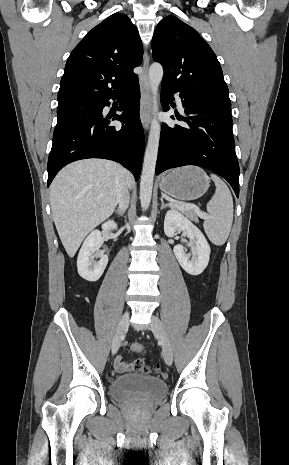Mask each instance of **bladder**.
Wrapping results in <instances>:
<instances>
[{
  "instance_id": "31cf9c89",
  "label": "bladder",
  "mask_w": 289,
  "mask_h": 465,
  "mask_svg": "<svg viewBox=\"0 0 289 465\" xmlns=\"http://www.w3.org/2000/svg\"><path fill=\"white\" fill-rule=\"evenodd\" d=\"M168 393L165 382L142 374L123 375L112 381L111 396L120 402L137 398L149 403L162 400Z\"/></svg>"
}]
</instances>
